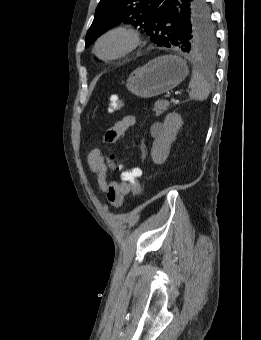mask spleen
Wrapping results in <instances>:
<instances>
[{
    "mask_svg": "<svg viewBox=\"0 0 261 340\" xmlns=\"http://www.w3.org/2000/svg\"><path fill=\"white\" fill-rule=\"evenodd\" d=\"M189 88L191 89L189 93L190 99L197 101L206 100L211 91V85L206 75L197 68H193Z\"/></svg>",
    "mask_w": 261,
    "mask_h": 340,
    "instance_id": "obj_1",
    "label": "spleen"
}]
</instances>
